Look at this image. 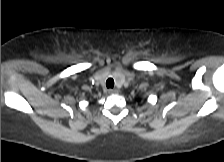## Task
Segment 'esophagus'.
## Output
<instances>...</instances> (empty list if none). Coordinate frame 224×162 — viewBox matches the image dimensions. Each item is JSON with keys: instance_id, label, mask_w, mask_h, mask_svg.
I'll use <instances>...</instances> for the list:
<instances>
[{"instance_id": "esophagus-1", "label": "esophagus", "mask_w": 224, "mask_h": 162, "mask_svg": "<svg viewBox=\"0 0 224 162\" xmlns=\"http://www.w3.org/2000/svg\"><path fill=\"white\" fill-rule=\"evenodd\" d=\"M108 93L109 94H116V93H118V90L117 89H109Z\"/></svg>"}]
</instances>
